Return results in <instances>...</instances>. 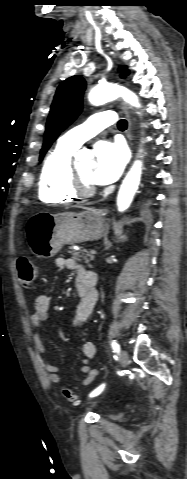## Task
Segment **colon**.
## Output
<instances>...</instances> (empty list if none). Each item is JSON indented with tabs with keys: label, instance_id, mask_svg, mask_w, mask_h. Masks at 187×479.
<instances>
[{
	"label": "colon",
	"instance_id": "5ec220e1",
	"mask_svg": "<svg viewBox=\"0 0 187 479\" xmlns=\"http://www.w3.org/2000/svg\"><path fill=\"white\" fill-rule=\"evenodd\" d=\"M19 282L22 287H30L37 278V271L30 258L26 255H20L16 259ZM62 396L70 402L78 403L77 395L68 387L61 389Z\"/></svg>",
	"mask_w": 187,
	"mask_h": 479
}]
</instances>
